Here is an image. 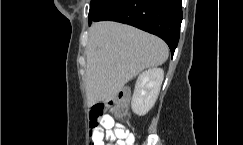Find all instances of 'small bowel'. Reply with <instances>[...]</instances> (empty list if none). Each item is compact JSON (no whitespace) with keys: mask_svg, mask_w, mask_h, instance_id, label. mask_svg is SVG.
I'll return each mask as SVG.
<instances>
[{"mask_svg":"<svg viewBox=\"0 0 243 145\" xmlns=\"http://www.w3.org/2000/svg\"><path fill=\"white\" fill-rule=\"evenodd\" d=\"M105 140L108 142L105 144ZM91 145H135V136L111 116H104L91 135Z\"/></svg>","mask_w":243,"mask_h":145,"instance_id":"1","label":"small bowel"}]
</instances>
